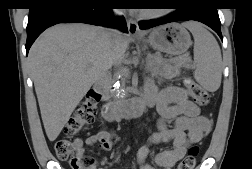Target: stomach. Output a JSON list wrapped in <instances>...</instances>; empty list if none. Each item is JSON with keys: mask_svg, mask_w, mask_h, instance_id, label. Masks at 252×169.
<instances>
[{"mask_svg": "<svg viewBox=\"0 0 252 169\" xmlns=\"http://www.w3.org/2000/svg\"><path fill=\"white\" fill-rule=\"evenodd\" d=\"M147 42L156 50L180 55L191 46V38L183 25L170 23L153 29Z\"/></svg>", "mask_w": 252, "mask_h": 169, "instance_id": "obj_1", "label": "stomach"}]
</instances>
